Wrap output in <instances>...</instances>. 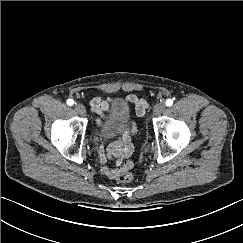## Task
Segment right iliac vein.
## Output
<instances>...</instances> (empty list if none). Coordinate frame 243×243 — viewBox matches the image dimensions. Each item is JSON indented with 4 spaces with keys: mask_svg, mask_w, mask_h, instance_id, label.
Instances as JSON below:
<instances>
[{
    "mask_svg": "<svg viewBox=\"0 0 243 243\" xmlns=\"http://www.w3.org/2000/svg\"><path fill=\"white\" fill-rule=\"evenodd\" d=\"M74 109L81 116H84L86 114V109L83 104H75Z\"/></svg>",
    "mask_w": 243,
    "mask_h": 243,
    "instance_id": "right-iliac-vein-1",
    "label": "right iliac vein"
}]
</instances>
